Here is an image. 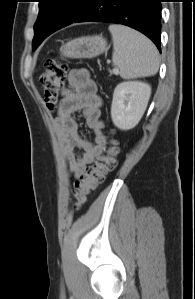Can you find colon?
I'll return each instance as SVG.
<instances>
[{
    "label": "colon",
    "instance_id": "1",
    "mask_svg": "<svg viewBox=\"0 0 195 299\" xmlns=\"http://www.w3.org/2000/svg\"><path fill=\"white\" fill-rule=\"evenodd\" d=\"M67 72V65L57 59H49L44 65V71L40 76V84L44 101L51 111L57 106L60 93L66 82ZM118 151L117 142L110 139L104 152L75 181L72 191V201L75 209H79L84 205L89 195L104 182L106 175L115 169Z\"/></svg>",
    "mask_w": 195,
    "mask_h": 299
}]
</instances>
